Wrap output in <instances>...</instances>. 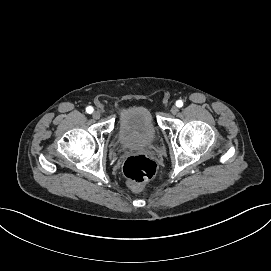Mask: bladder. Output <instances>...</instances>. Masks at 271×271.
<instances>
[{"mask_svg": "<svg viewBox=\"0 0 271 271\" xmlns=\"http://www.w3.org/2000/svg\"><path fill=\"white\" fill-rule=\"evenodd\" d=\"M158 134L153 118L142 104L132 106L120 114L115 128V137L124 145L150 144Z\"/></svg>", "mask_w": 271, "mask_h": 271, "instance_id": "31cf9c89", "label": "bladder"}]
</instances>
